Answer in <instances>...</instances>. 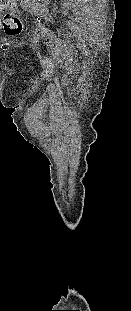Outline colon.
I'll return each mask as SVG.
<instances>
[{
	"instance_id": "1",
	"label": "colon",
	"mask_w": 131,
	"mask_h": 311,
	"mask_svg": "<svg viewBox=\"0 0 131 311\" xmlns=\"http://www.w3.org/2000/svg\"><path fill=\"white\" fill-rule=\"evenodd\" d=\"M1 27L7 35H17L22 31L23 20L17 10L15 0H0V12H4Z\"/></svg>"
}]
</instances>
